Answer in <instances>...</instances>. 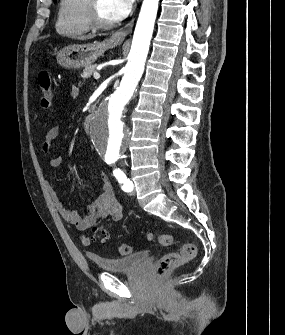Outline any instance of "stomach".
<instances>
[{"mask_svg":"<svg viewBox=\"0 0 285 335\" xmlns=\"http://www.w3.org/2000/svg\"><path fill=\"white\" fill-rule=\"evenodd\" d=\"M121 42H114L112 38L106 40V42H96V44H83V46H66L57 52V62L66 68V70H71V68H85V66H90L95 60H98L106 50L109 48H115L119 46Z\"/></svg>","mask_w":285,"mask_h":335,"instance_id":"stomach-1","label":"stomach"}]
</instances>
